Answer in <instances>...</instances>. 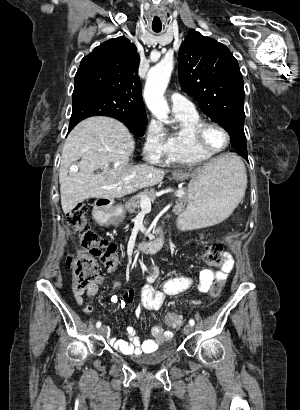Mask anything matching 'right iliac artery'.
I'll return each mask as SVG.
<instances>
[{
	"label": "right iliac artery",
	"mask_w": 300,
	"mask_h": 410,
	"mask_svg": "<svg viewBox=\"0 0 300 410\" xmlns=\"http://www.w3.org/2000/svg\"><path fill=\"white\" fill-rule=\"evenodd\" d=\"M100 326H101V322L98 321V322L96 323V327L99 328Z\"/></svg>",
	"instance_id": "1"
}]
</instances>
